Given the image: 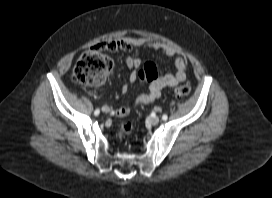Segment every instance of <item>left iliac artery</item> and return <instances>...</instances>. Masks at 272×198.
Instances as JSON below:
<instances>
[{
  "label": "left iliac artery",
  "mask_w": 272,
  "mask_h": 198,
  "mask_svg": "<svg viewBox=\"0 0 272 198\" xmlns=\"http://www.w3.org/2000/svg\"><path fill=\"white\" fill-rule=\"evenodd\" d=\"M167 118H168V116H167L166 114H164V115L162 116V119H163V120H167Z\"/></svg>",
  "instance_id": "1"
}]
</instances>
